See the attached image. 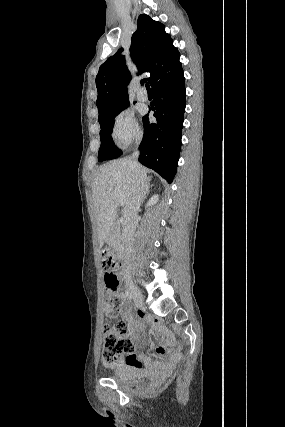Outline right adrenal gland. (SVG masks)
Segmentation results:
<instances>
[{"mask_svg":"<svg viewBox=\"0 0 285 427\" xmlns=\"http://www.w3.org/2000/svg\"><path fill=\"white\" fill-rule=\"evenodd\" d=\"M152 186H153V185H150L149 183L147 184V188H146V192H145V195H144L143 201L147 198V196H148V194H149L150 187H152Z\"/></svg>","mask_w":285,"mask_h":427,"instance_id":"1","label":"right adrenal gland"}]
</instances>
